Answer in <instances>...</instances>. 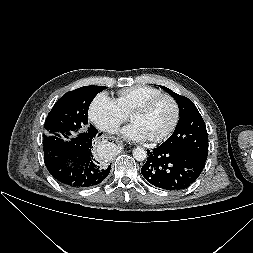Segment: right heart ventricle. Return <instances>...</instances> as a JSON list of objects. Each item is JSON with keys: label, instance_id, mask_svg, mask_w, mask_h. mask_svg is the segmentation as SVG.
<instances>
[{"label": "right heart ventricle", "instance_id": "obj_1", "mask_svg": "<svg viewBox=\"0 0 253 253\" xmlns=\"http://www.w3.org/2000/svg\"><path fill=\"white\" fill-rule=\"evenodd\" d=\"M161 93V90L150 85H134L119 90L115 101L128 116L144 101Z\"/></svg>", "mask_w": 253, "mask_h": 253}]
</instances>
